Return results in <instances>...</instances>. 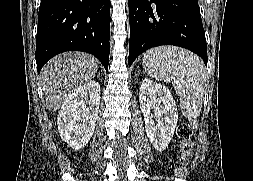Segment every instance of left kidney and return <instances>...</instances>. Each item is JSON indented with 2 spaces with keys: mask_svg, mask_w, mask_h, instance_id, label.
<instances>
[{
  "mask_svg": "<svg viewBox=\"0 0 253 181\" xmlns=\"http://www.w3.org/2000/svg\"><path fill=\"white\" fill-rule=\"evenodd\" d=\"M147 136L157 151H163L172 139L178 120L175 100L170 90L148 78L139 92Z\"/></svg>",
  "mask_w": 253,
  "mask_h": 181,
  "instance_id": "obj_1",
  "label": "left kidney"
}]
</instances>
